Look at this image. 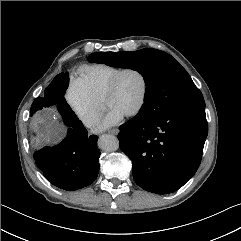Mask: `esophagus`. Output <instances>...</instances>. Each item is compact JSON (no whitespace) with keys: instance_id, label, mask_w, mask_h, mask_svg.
Returning <instances> with one entry per match:
<instances>
[{"instance_id":"esophagus-1","label":"esophagus","mask_w":241,"mask_h":241,"mask_svg":"<svg viewBox=\"0 0 241 241\" xmlns=\"http://www.w3.org/2000/svg\"><path fill=\"white\" fill-rule=\"evenodd\" d=\"M109 133L116 135L118 133V129H112L109 131Z\"/></svg>"}]
</instances>
